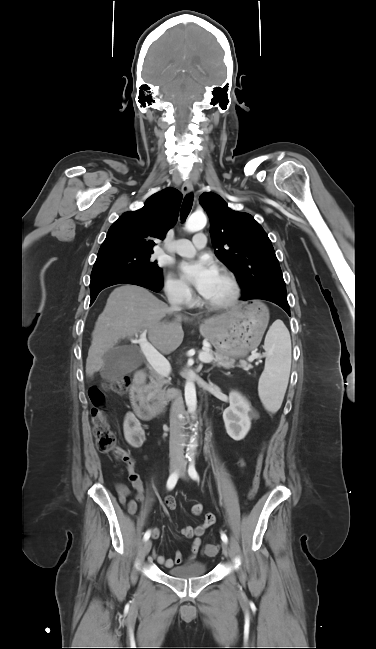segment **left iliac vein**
Returning <instances> with one entry per match:
<instances>
[{
  "mask_svg": "<svg viewBox=\"0 0 376 649\" xmlns=\"http://www.w3.org/2000/svg\"><path fill=\"white\" fill-rule=\"evenodd\" d=\"M179 475L183 479L186 478V464H185L184 461H182L180 466H179ZM222 552L226 557H228V555H229V547H228L227 543H225V542L222 543Z\"/></svg>",
  "mask_w": 376,
  "mask_h": 649,
  "instance_id": "4c4485c4",
  "label": "left iliac vein"
}]
</instances>
